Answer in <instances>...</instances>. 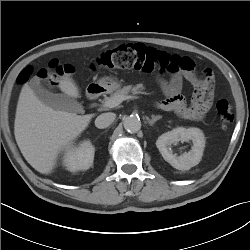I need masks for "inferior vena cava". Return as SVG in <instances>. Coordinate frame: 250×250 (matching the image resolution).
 I'll use <instances>...</instances> for the list:
<instances>
[{
	"label": "inferior vena cava",
	"instance_id": "inferior-vena-cava-1",
	"mask_svg": "<svg viewBox=\"0 0 250 250\" xmlns=\"http://www.w3.org/2000/svg\"><path fill=\"white\" fill-rule=\"evenodd\" d=\"M116 115L114 113H102L95 120V126L99 129H104L109 127L115 120Z\"/></svg>",
	"mask_w": 250,
	"mask_h": 250
}]
</instances>
